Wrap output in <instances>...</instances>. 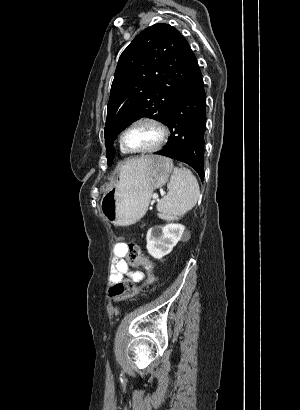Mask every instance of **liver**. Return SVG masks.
Returning <instances> with one entry per match:
<instances>
[{"mask_svg": "<svg viewBox=\"0 0 300 410\" xmlns=\"http://www.w3.org/2000/svg\"><path fill=\"white\" fill-rule=\"evenodd\" d=\"M147 156H142L140 158H132L126 162L127 167H135L136 165H140L145 161Z\"/></svg>", "mask_w": 300, "mask_h": 410, "instance_id": "obj_1", "label": "liver"}]
</instances>
